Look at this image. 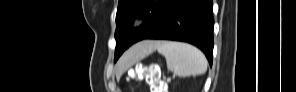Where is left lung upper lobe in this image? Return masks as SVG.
I'll use <instances>...</instances> for the list:
<instances>
[{"mask_svg": "<svg viewBox=\"0 0 296 92\" xmlns=\"http://www.w3.org/2000/svg\"><path fill=\"white\" fill-rule=\"evenodd\" d=\"M170 0H119L116 14V49L114 61L132 44L145 39L162 22ZM134 16L144 19L143 24L130 29Z\"/></svg>", "mask_w": 296, "mask_h": 92, "instance_id": "obj_1", "label": "left lung upper lobe"}]
</instances>
